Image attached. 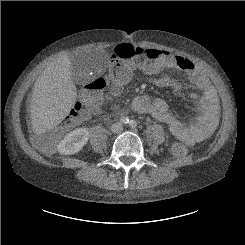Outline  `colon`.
Instances as JSON below:
<instances>
[{
	"mask_svg": "<svg viewBox=\"0 0 245 245\" xmlns=\"http://www.w3.org/2000/svg\"><path fill=\"white\" fill-rule=\"evenodd\" d=\"M140 63H146L150 69L154 67L153 63L148 62V58L142 49L132 45L121 47L117 55L111 60L107 73L86 82L82 86L80 90L81 99L75 104L73 112L58 127L40 135L37 138L38 144L43 147L52 146L62 133L80 122L81 112L84 108L87 115L96 114L101 104V95L106 90L118 89L131 77L135 65ZM169 149L175 157H184L188 151L184 143L177 141L172 142Z\"/></svg>",
	"mask_w": 245,
	"mask_h": 245,
	"instance_id": "1",
	"label": "colon"
}]
</instances>
